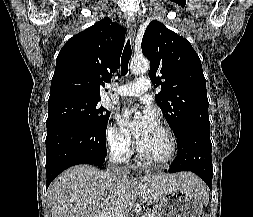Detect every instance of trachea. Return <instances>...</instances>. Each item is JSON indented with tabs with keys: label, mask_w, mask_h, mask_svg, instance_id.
Returning <instances> with one entry per match:
<instances>
[{
	"label": "trachea",
	"mask_w": 253,
	"mask_h": 217,
	"mask_svg": "<svg viewBox=\"0 0 253 217\" xmlns=\"http://www.w3.org/2000/svg\"><path fill=\"white\" fill-rule=\"evenodd\" d=\"M131 54H132L131 44L130 41L128 40L123 50L121 58V73L123 76L128 73V64L131 58Z\"/></svg>",
	"instance_id": "3493384b"
}]
</instances>
